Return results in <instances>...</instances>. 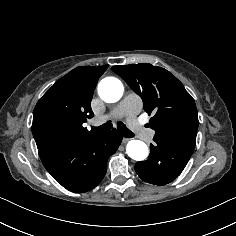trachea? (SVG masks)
Returning a JSON list of instances; mask_svg holds the SVG:
<instances>
[{
  "label": "trachea",
  "mask_w": 236,
  "mask_h": 236,
  "mask_svg": "<svg viewBox=\"0 0 236 236\" xmlns=\"http://www.w3.org/2000/svg\"><path fill=\"white\" fill-rule=\"evenodd\" d=\"M112 128V123L111 122H107L104 123L101 126L98 127H92L93 130H97V131H101V132H108L110 129ZM117 128L119 130V132L126 138H132L135 137V133L131 132L125 124H123L122 122H119L117 125Z\"/></svg>",
  "instance_id": "obj_1"
}]
</instances>
